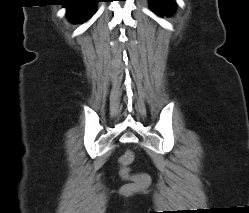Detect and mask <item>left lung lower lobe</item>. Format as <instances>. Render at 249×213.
<instances>
[{
  "instance_id": "0a47b994",
  "label": "left lung lower lobe",
  "mask_w": 249,
  "mask_h": 213,
  "mask_svg": "<svg viewBox=\"0 0 249 213\" xmlns=\"http://www.w3.org/2000/svg\"><path fill=\"white\" fill-rule=\"evenodd\" d=\"M174 3V0H151L152 7L159 16L171 10L174 7Z\"/></svg>"
}]
</instances>
